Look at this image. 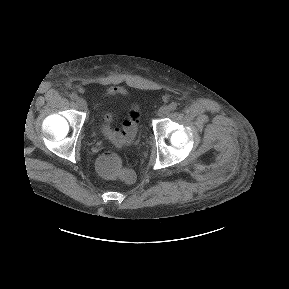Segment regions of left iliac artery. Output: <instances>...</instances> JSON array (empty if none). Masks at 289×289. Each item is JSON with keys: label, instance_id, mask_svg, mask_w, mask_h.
<instances>
[{"label": "left iliac artery", "instance_id": "44dca946", "mask_svg": "<svg viewBox=\"0 0 289 289\" xmlns=\"http://www.w3.org/2000/svg\"><path fill=\"white\" fill-rule=\"evenodd\" d=\"M169 108L171 111H174L177 109V103L176 102H172L169 104Z\"/></svg>", "mask_w": 289, "mask_h": 289}]
</instances>
